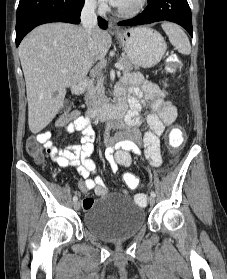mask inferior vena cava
Listing matches in <instances>:
<instances>
[{"instance_id":"obj_1","label":"inferior vena cava","mask_w":227,"mask_h":279,"mask_svg":"<svg viewBox=\"0 0 227 279\" xmlns=\"http://www.w3.org/2000/svg\"><path fill=\"white\" fill-rule=\"evenodd\" d=\"M96 3L94 0H86L81 12V22L86 32L90 50L94 47L93 33L97 26V16L95 14Z\"/></svg>"}]
</instances>
